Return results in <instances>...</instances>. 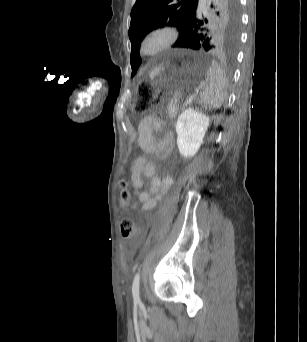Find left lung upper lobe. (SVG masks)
Here are the masks:
<instances>
[{
    "instance_id": "obj_1",
    "label": "left lung upper lobe",
    "mask_w": 307,
    "mask_h": 342,
    "mask_svg": "<svg viewBox=\"0 0 307 342\" xmlns=\"http://www.w3.org/2000/svg\"><path fill=\"white\" fill-rule=\"evenodd\" d=\"M199 0H137L131 11L129 38L131 67L135 75L142 60L140 43L152 30L175 26L180 37L174 47L200 51L235 52L239 40L238 0H210L204 13Z\"/></svg>"
}]
</instances>
